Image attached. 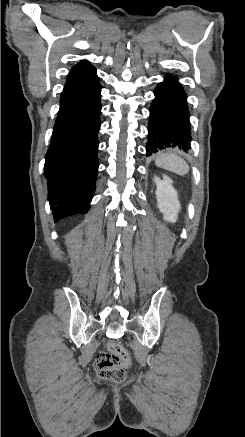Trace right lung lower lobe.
<instances>
[{"instance_id": "98d812e1", "label": "right lung lower lobe", "mask_w": 245, "mask_h": 437, "mask_svg": "<svg viewBox=\"0 0 245 437\" xmlns=\"http://www.w3.org/2000/svg\"><path fill=\"white\" fill-rule=\"evenodd\" d=\"M100 92L98 81L61 94L44 166L55 222L90 208L98 173Z\"/></svg>"}]
</instances>
